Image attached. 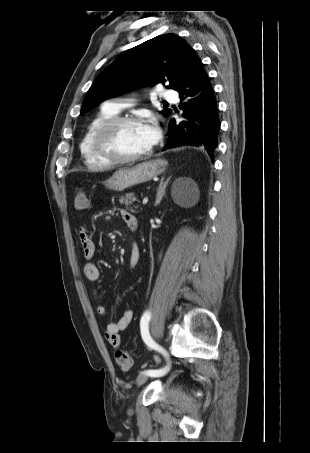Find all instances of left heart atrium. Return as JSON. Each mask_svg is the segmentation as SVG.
Returning <instances> with one entry per match:
<instances>
[{
    "instance_id": "obj_1",
    "label": "left heart atrium",
    "mask_w": 310,
    "mask_h": 453,
    "mask_svg": "<svg viewBox=\"0 0 310 453\" xmlns=\"http://www.w3.org/2000/svg\"><path fill=\"white\" fill-rule=\"evenodd\" d=\"M143 134L150 147L156 144L160 137L159 128L153 122L143 125Z\"/></svg>"
}]
</instances>
